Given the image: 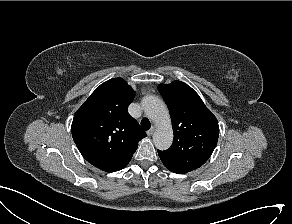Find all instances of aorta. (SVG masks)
<instances>
[{
  "label": "aorta",
  "instance_id": "762f6f07",
  "mask_svg": "<svg viewBox=\"0 0 292 224\" xmlns=\"http://www.w3.org/2000/svg\"><path fill=\"white\" fill-rule=\"evenodd\" d=\"M142 107L146 115L156 124L153 142L159 150H167L173 141L171 119L165 103L157 96L143 98Z\"/></svg>",
  "mask_w": 292,
  "mask_h": 224
}]
</instances>
